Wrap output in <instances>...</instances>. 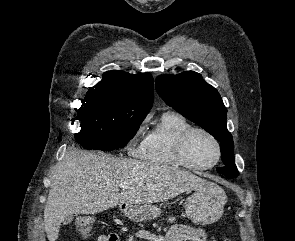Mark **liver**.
<instances>
[{"instance_id":"1","label":"liver","mask_w":295,"mask_h":241,"mask_svg":"<svg viewBox=\"0 0 295 241\" xmlns=\"http://www.w3.org/2000/svg\"><path fill=\"white\" fill-rule=\"evenodd\" d=\"M51 181L44 209L49 241L58 239L61 224L74 214H96L123 203L164 202L208 182L172 166L76 149L56 165ZM120 184L128 187L119 192Z\"/></svg>"}]
</instances>
